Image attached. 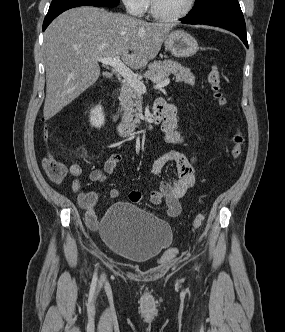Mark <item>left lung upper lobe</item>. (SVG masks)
<instances>
[{"label": "left lung upper lobe", "instance_id": "obj_1", "mask_svg": "<svg viewBox=\"0 0 285 332\" xmlns=\"http://www.w3.org/2000/svg\"><path fill=\"white\" fill-rule=\"evenodd\" d=\"M234 11H241L237 0H196L188 16L201 17Z\"/></svg>", "mask_w": 285, "mask_h": 332}]
</instances>
